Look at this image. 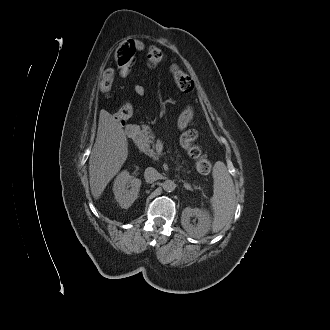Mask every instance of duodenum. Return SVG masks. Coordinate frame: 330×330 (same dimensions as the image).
<instances>
[{
	"label": "duodenum",
	"instance_id": "1",
	"mask_svg": "<svg viewBox=\"0 0 330 330\" xmlns=\"http://www.w3.org/2000/svg\"><path fill=\"white\" fill-rule=\"evenodd\" d=\"M138 129L136 126L128 125L125 128V134L128 139L133 140L137 135Z\"/></svg>",
	"mask_w": 330,
	"mask_h": 330
}]
</instances>
